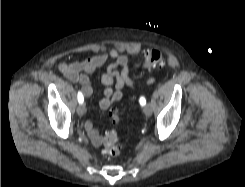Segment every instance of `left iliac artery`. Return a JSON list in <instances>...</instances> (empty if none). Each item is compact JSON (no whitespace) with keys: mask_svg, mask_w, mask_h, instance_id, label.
<instances>
[{"mask_svg":"<svg viewBox=\"0 0 245 187\" xmlns=\"http://www.w3.org/2000/svg\"><path fill=\"white\" fill-rule=\"evenodd\" d=\"M139 102H140V104H141L142 106H144V105L146 104V99H145L144 97H141V98L139 99Z\"/></svg>","mask_w":245,"mask_h":187,"instance_id":"1","label":"left iliac artery"}]
</instances>
